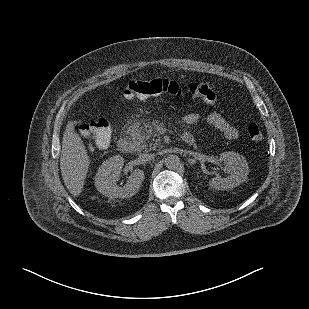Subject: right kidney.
I'll list each match as a JSON object with an SVG mask.
<instances>
[{"instance_id":"obj_1","label":"right kidney","mask_w":309,"mask_h":309,"mask_svg":"<svg viewBox=\"0 0 309 309\" xmlns=\"http://www.w3.org/2000/svg\"><path fill=\"white\" fill-rule=\"evenodd\" d=\"M123 165V157L116 155L99 167L95 177V186L102 195L109 198H130L139 191L145 177L140 169H135L130 174L124 186L117 185Z\"/></svg>"}]
</instances>
